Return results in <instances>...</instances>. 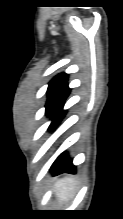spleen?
I'll use <instances>...</instances> for the list:
<instances>
[{
	"label": "spleen",
	"instance_id": "1",
	"mask_svg": "<svg viewBox=\"0 0 123 219\" xmlns=\"http://www.w3.org/2000/svg\"><path fill=\"white\" fill-rule=\"evenodd\" d=\"M76 180L74 178H64L56 185V195L60 202H68L73 198L76 191Z\"/></svg>",
	"mask_w": 123,
	"mask_h": 219
}]
</instances>
